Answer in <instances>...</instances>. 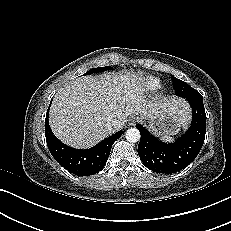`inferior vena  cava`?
I'll use <instances>...</instances> for the list:
<instances>
[{
    "mask_svg": "<svg viewBox=\"0 0 231 231\" xmlns=\"http://www.w3.org/2000/svg\"><path fill=\"white\" fill-rule=\"evenodd\" d=\"M124 122L120 119H114L108 122L107 127L109 131L115 132L118 131L121 127H123Z\"/></svg>",
    "mask_w": 231,
    "mask_h": 231,
    "instance_id": "inferior-vena-cava-1",
    "label": "inferior vena cava"
}]
</instances>
